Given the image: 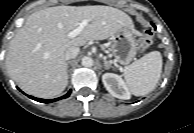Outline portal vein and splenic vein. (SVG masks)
I'll list each match as a JSON object with an SVG mask.
<instances>
[{"mask_svg":"<svg viewBox=\"0 0 194 133\" xmlns=\"http://www.w3.org/2000/svg\"><path fill=\"white\" fill-rule=\"evenodd\" d=\"M88 22L89 21L86 20V19L82 20L81 23L79 24V26L76 29H74L73 31L69 32L68 36L70 38H74L77 35H79L82 32V30L85 28V26L88 24Z\"/></svg>","mask_w":194,"mask_h":133,"instance_id":"portal-vein-and-splenic-vein-1","label":"portal vein and splenic vein"}]
</instances>
